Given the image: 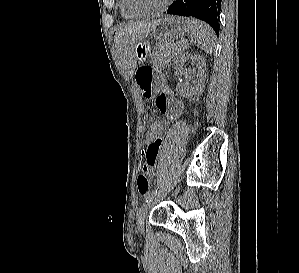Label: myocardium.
<instances>
[{
	"label": "myocardium",
	"instance_id": "1",
	"mask_svg": "<svg viewBox=\"0 0 299 273\" xmlns=\"http://www.w3.org/2000/svg\"><path fill=\"white\" fill-rule=\"evenodd\" d=\"M123 2H124V6L128 12H130L131 14L138 16V17H145V16H154V15L162 13L163 11H165L167 9L171 0H164L163 3L159 7H157L156 9H153V10L137 9L132 5L131 0H123Z\"/></svg>",
	"mask_w": 299,
	"mask_h": 273
}]
</instances>
